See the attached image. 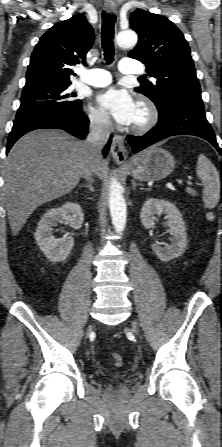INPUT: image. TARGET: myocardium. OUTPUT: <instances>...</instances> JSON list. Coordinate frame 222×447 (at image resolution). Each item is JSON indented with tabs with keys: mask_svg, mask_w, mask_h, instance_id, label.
<instances>
[{
	"mask_svg": "<svg viewBox=\"0 0 222 447\" xmlns=\"http://www.w3.org/2000/svg\"><path fill=\"white\" fill-rule=\"evenodd\" d=\"M137 108L141 113L138 121L133 123L132 131L135 133H144L150 130L158 121V110L149 100H140Z\"/></svg>",
	"mask_w": 222,
	"mask_h": 447,
	"instance_id": "obj_1",
	"label": "myocardium"
}]
</instances>
